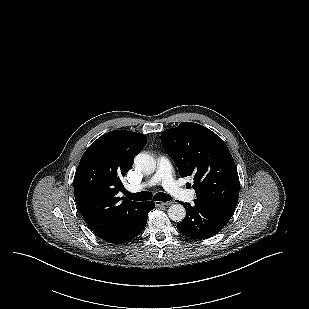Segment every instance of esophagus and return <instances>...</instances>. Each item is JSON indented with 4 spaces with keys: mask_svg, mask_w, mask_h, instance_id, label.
Returning a JSON list of instances; mask_svg holds the SVG:
<instances>
[{
    "mask_svg": "<svg viewBox=\"0 0 309 309\" xmlns=\"http://www.w3.org/2000/svg\"><path fill=\"white\" fill-rule=\"evenodd\" d=\"M173 202L172 201H167V202H162V201H155L156 206H168L171 205Z\"/></svg>",
    "mask_w": 309,
    "mask_h": 309,
    "instance_id": "34e87169",
    "label": "esophagus"
}]
</instances>
